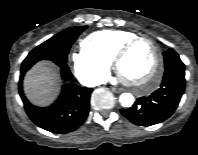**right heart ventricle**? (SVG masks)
<instances>
[{"label":"right heart ventricle","mask_w":198,"mask_h":155,"mask_svg":"<svg viewBox=\"0 0 198 155\" xmlns=\"http://www.w3.org/2000/svg\"><path fill=\"white\" fill-rule=\"evenodd\" d=\"M137 36L138 34L126 30H101L88 35L82 46L110 63L115 52L125 42Z\"/></svg>","instance_id":"1"}]
</instances>
